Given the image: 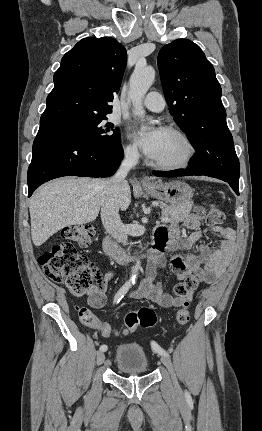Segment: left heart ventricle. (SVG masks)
<instances>
[{
    "label": "left heart ventricle",
    "mask_w": 262,
    "mask_h": 431,
    "mask_svg": "<svg viewBox=\"0 0 262 431\" xmlns=\"http://www.w3.org/2000/svg\"><path fill=\"white\" fill-rule=\"evenodd\" d=\"M184 152V145L179 138L164 132L163 140L154 161L173 162L179 159Z\"/></svg>",
    "instance_id": "obj_1"
}]
</instances>
